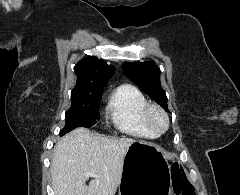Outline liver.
<instances>
[{"label":"liver","mask_w":240,"mask_h":195,"mask_svg":"<svg viewBox=\"0 0 240 195\" xmlns=\"http://www.w3.org/2000/svg\"><path fill=\"white\" fill-rule=\"evenodd\" d=\"M132 137H103L76 127L56 143L51 159L54 195H115L121 181L126 149ZM97 177L86 185V173Z\"/></svg>","instance_id":"obj_1"}]
</instances>
